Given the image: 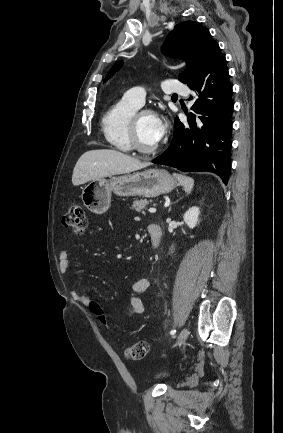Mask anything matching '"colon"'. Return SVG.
Wrapping results in <instances>:
<instances>
[{"mask_svg": "<svg viewBox=\"0 0 283 433\" xmlns=\"http://www.w3.org/2000/svg\"><path fill=\"white\" fill-rule=\"evenodd\" d=\"M64 228L71 230L76 235H83L87 230V217L83 205L80 202H74L70 205L67 213L62 218ZM91 310L98 316L101 323L107 324V319L100 308L94 302H90ZM149 351V345L146 341H137L130 344L125 349V357L129 360L137 361L145 358Z\"/></svg>", "mask_w": 283, "mask_h": 433, "instance_id": "5ec220e1", "label": "colon"}]
</instances>
